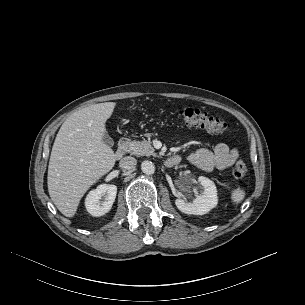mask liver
I'll return each mask as SVG.
<instances>
[{
	"instance_id": "obj_1",
	"label": "liver",
	"mask_w": 305,
	"mask_h": 305,
	"mask_svg": "<svg viewBox=\"0 0 305 305\" xmlns=\"http://www.w3.org/2000/svg\"><path fill=\"white\" fill-rule=\"evenodd\" d=\"M115 102L93 104L62 124L48 166V192L66 217L76 214L81 198L115 164L114 151L102 141Z\"/></svg>"
}]
</instances>
